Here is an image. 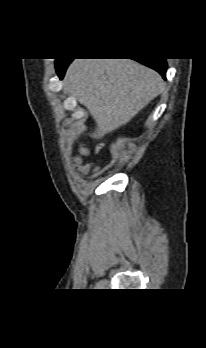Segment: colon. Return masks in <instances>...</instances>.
I'll return each mask as SVG.
<instances>
[{"mask_svg":"<svg viewBox=\"0 0 206 348\" xmlns=\"http://www.w3.org/2000/svg\"><path fill=\"white\" fill-rule=\"evenodd\" d=\"M81 153H82V154H84V153H85V150H84V149H82Z\"/></svg>","mask_w":206,"mask_h":348,"instance_id":"1","label":"colon"}]
</instances>
